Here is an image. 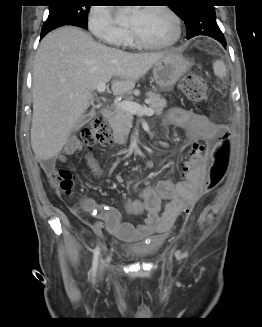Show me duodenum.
<instances>
[{"instance_id": "duodenum-1", "label": "duodenum", "mask_w": 262, "mask_h": 327, "mask_svg": "<svg viewBox=\"0 0 262 327\" xmlns=\"http://www.w3.org/2000/svg\"><path fill=\"white\" fill-rule=\"evenodd\" d=\"M102 114L105 118L111 119L113 117V111L110 108H103Z\"/></svg>"}]
</instances>
